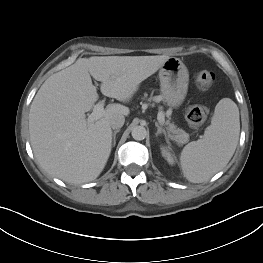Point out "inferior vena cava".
Instances as JSON below:
<instances>
[{"mask_svg": "<svg viewBox=\"0 0 263 263\" xmlns=\"http://www.w3.org/2000/svg\"><path fill=\"white\" fill-rule=\"evenodd\" d=\"M124 122L125 117L122 114H117L110 119V126L113 129H119L124 125Z\"/></svg>", "mask_w": 263, "mask_h": 263, "instance_id": "602c4592", "label": "inferior vena cava"}]
</instances>
